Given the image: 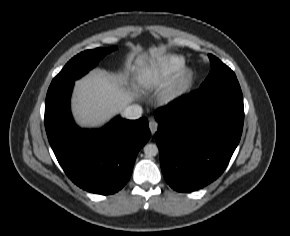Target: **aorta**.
<instances>
[{"label":"aorta","mask_w":290,"mask_h":236,"mask_svg":"<svg viewBox=\"0 0 290 236\" xmlns=\"http://www.w3.org/2000/svg\"><path fill=\"white\" fill-rule=\"evenodd\" d=\"M159 150L156 144H146L144 146V153L147 157H154L158 154Z\"/></svg>","instance_id":"aorta-1"}]
</instances>
